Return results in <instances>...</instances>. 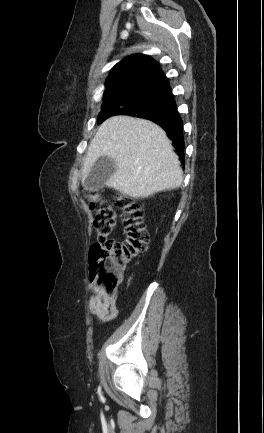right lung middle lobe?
Masks as SVG:
<instances>
[{"label": "right lung middle lobe", "instance_id": "dd1d6c3e", "mask_svg": "<svg viewBox=\"0 0 264 433\" xmlns=\"http://www.w3.org/2000/svg\"><path fill=\"white\" fill-rule=\"evenodd\" d=\"M141 88H131L115 96L105 97L102 110L99 113L98 124L102 123L110 116L118 114H128L131 103L135 102L140 95Z\"/></svg>", "mask_w": 264, "mask_h": 433}]
</instances>
